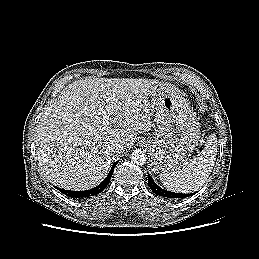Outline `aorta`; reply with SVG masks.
I'll return each instance as SVG.
<instances>
[{"label": "aorta", "mask_w": 259, "mask_h": 259, "mask_svg": "<svg viewBox=\"0 0 259 259\" xmlns=\"http://www.w3.org/2000/svg\"><path fill=\"white\" fill-rule=\"evenodd\" d=\"M130 158L132 160L133 163L137 164V165H144L147 161V156L146 154L141 151V150H134L131 155H130Z\"/></svg>", "instance_id": "aorta-1"}]
</instances>
